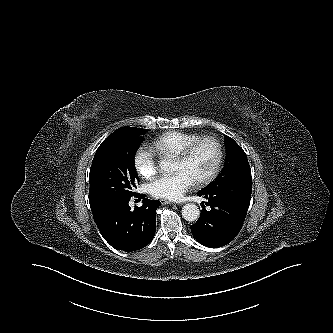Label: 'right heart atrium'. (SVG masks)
I'll return each mask as SVG.
<instances>
[{
	"label": "right heart atrium",
	"mask_w": 333,
	"mask_h": 333,
	"mask_svg": "<svg viewBox=\"0 0 333 333\" xmlns=\"http://www.w3.org/2000/svg\"><path fill=\"white\" fill-rule=\"evenodd\" d=\"M133 165L141 177L150 178L157 170V159L150 149L141 146L134 153Z\"/></svg>",
	"instance_id": "1"
}]
</instances>
